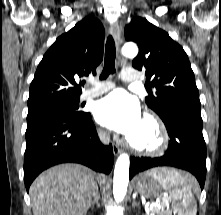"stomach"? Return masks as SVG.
I'll return each mask as SVG.
<instances>
[{
  "mask_svg": "<svg viewBox=\"0 0 221 215\" xmlns=\"http://www.w3.org/2000/svg\"><path fill=\"white\" fill-rule=\"evenodd\" d=\"M163 170L153 169L139 174L135 180L136 191L147 198L157 196L163 187L157 179V174ZM153 171H156V174Z\"/></svg>",
  "mask_w": 221,
  "mask_h": 215,
  "instance_id": "1",
  "label": "stomach"
}]
</instances>
